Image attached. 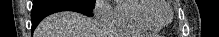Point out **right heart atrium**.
Listing matches in <instances>:
<instances>
[{"label": "right heart atrium", "instance_id": "obj_1", "mask_svg": "<svg viewBox=\"0 0 219 37\" xmlns=\"http://www.w3.org/2000/svg\"><path fill=\"white\" fill-rule=\"evenodd\" d=\"M93 12L100 21L109 23L113 19L112 6L107 0L95 1Z\"/></svg>", "mask_w": 219, "mask_h": 37}]
</instances>
